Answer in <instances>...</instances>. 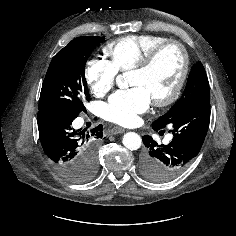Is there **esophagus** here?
Masks as SVG:
<instances>
[{
	"label": "esophagus",
	"mask_w": 236,
	"mask_h": 236,
	"mask_svg": "<svg viewBox=\"0 0 236 236\" xmlns=\"http://www.w3.org/2000/svg\"><path fill=\"white\" fill-rule=\"evenodd\" d=\"M124 132H125V129L122 128V127H119V126H115L111 130L112 134H121V133H124Z\"/></svg>",
	"instance_id": "esophagus-1"
}]
</instances>
